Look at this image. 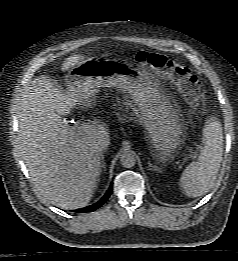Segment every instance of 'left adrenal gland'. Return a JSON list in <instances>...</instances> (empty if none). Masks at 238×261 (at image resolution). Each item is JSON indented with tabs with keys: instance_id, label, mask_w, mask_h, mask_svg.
<instances>
[{
	"instance_id": "obj_1",
	"label": "left adrenal gland",
	"mask_w": 238,
	"mask_h": 261,
	"mask_svg": "<svg viewBox=\"0 0 238 261\" xmlns=\"http://www.w3.org/2000/svg\"><path fill=\"white\" fill-rule=\"evenodd\" d=\"M148 164H149V168L150 169H153V170H157V168L155 166H153L150 161H148Z\"/></svg>"
}]
</instances>
